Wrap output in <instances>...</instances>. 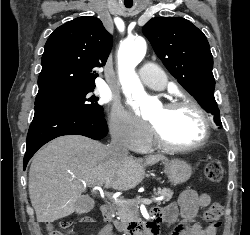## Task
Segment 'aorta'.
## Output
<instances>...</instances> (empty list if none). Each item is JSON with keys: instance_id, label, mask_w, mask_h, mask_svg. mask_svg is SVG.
Here are the masks:
<instances>
[{"instance_id": "obj_1", "label": "aorta", "mask_w": 250, "mask_h": 235, "mask_svg": "<svg viewBox=\"0 0 250 235\" xmlns=\"http://www.w3.org/2000/svg\"><path fill=\"white\" fill-rule=\"evenodd\" d=\"M146 48L144 39L127 41L121 46L120 55L122 58V70L125 73L124 80L127 95L131 97V93H134L135 99L141 103L145 114H150L153 101L146 95L137 75L132 71V67L144 58Z\"/></svg>"}]
</instances>
